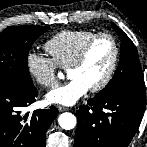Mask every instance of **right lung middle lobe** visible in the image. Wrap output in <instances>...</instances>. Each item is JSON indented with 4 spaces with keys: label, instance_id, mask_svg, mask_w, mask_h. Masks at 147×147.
Instances as JSON below:
<instances>
[{
    "label": "right lung middle lobe",
    "instance_id": "dd1d6c3e",
    "mask_svg": "<svg viewBox=\"0 0 147 147\" xmlns=\"http://www.w3.org/2000/svg\"><path fill=\"white\" fill-rule=\"evenodd\" d=\"M47 30L49 27L13 26L0 33V85L33 86L27 56L34 41Z\"/></svg>",
    "mask_w": 147,
    "mask_h": 147
}]
</instances>
